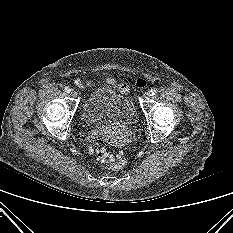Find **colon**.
I'll use <instances>...</instances> for the list:
<instances>
[{
	"instance_id": "5ec220e1",
	"label": "colon",
	"mask_w": 233,
	"mask_h": 233,
	"mask_svg": "<svg viewBox=\"0 0 233 233\" xmlns=\"http://www.w3.org/2000/svg\"><path fill=\"white\" fill-rule=\"evenodd\" d=\"M107 82L118 86L123 91L127 90L126 85L117 84L113 79H107ZM135 84L137 87L142 88L146 85V81L143 78H137ZM89 152L98 162L106 164V166L112 170L121 169L126 164V159L122 154L108 151L99 141L90 145Z\"/></svg>"
}]
</instances>
